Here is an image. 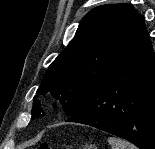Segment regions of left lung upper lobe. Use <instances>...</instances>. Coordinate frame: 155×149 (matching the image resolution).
Segmentation results:
<instances>
[{
	"instance_id": "obj_1",
	"label": "left lung upper lobe",
	"mask_w": 155,
	"mask_h": 149,
	"mask_svg": "<svg viewBox=\"0 0 155 149\" xmlns=\"http://www.w3.org/2000/svg\"><path fill=\"white\" fill-rule=\"evenodd\" d=\"M142 18L125 3L92 9L81 20L73 40L49 66L36 94L52 97L68 118L72 116ZM31 113L33 120L45 115L36 98Z\"/></svg>"
}]
</instances>
